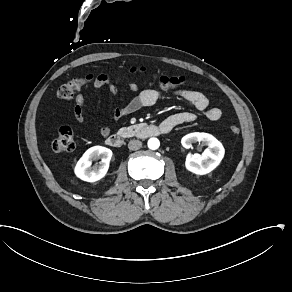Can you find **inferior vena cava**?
I'll use <instances>...</instances> for the list:
<instances>
[{"mask_svg":"<svg viewBox=\"0 0 292 292\" xmlns=\"http://www.w3.org/2000/svg\"><path fill=\"white\" fill-rule=\"evenodd\" d=\"M142 147V142L139 141V140H131L129 143H128V148L130 150H138Z\"/></svg>","mask_w":292,"mask_h":292,"instance_id":"inferior-vena-cava-1","label":"inferior vena cava"}]
</instances>
